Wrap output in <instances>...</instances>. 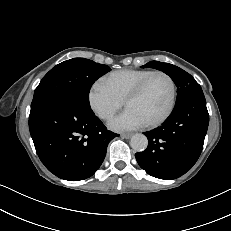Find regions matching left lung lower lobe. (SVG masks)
<instances>
[{"mask_svg":"<svg viewBox=\"0 0 231 231\" xmlns=\"http://www.w3.org/2000/svg\"><path fill=\"white\" fill-rule=\"evenodd\" d=\"M209 124L206 100L200 88L188 90L176 101L171 116L155 130L144 133L149 142L135 157L149 175L176 179L198 160Z\"/></svg>","mask_w":231,"mask_h":231,"instance_id":"0a47b994","label":"left lung lower lobe"}]
</instances>
